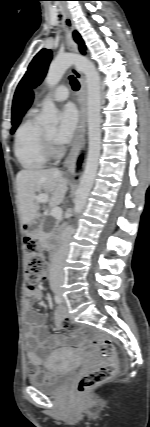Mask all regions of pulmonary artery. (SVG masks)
Returning a JSON list of instances; mask_svg holds the SVG:
<instances>
[{"label": "pulmonary artery", "instance_id": "1", "mask_svg": "<svg viewBox=\"0 0 150 427\" xmlns=\"http://www.w3.org/2000/svg\"><path fill=\"white\" fill-rule=\"evenodd\" d=\"M49 96L53 101H65L69 97V89L66 85H60L56 87Z\"/></svg>", "mask_w": 150, "mask_h": 427}]
</instances>
